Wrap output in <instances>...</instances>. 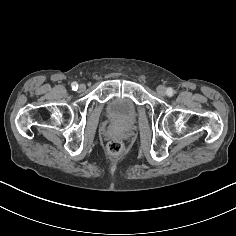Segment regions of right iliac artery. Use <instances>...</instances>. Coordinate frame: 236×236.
<instances>
[{
    "label": "right iliac artery",
    "mask_w": 236,
    "mask_h": 236,
    "mask_svg": "<svg viewBox=\"0 0 236 236\" xmlns=\"http://www.w3.org/2000/svg\"><path fill=\"white\" fill-rule=\"evenodd\" d=\"M71 87H72L73 90H77V89H78V84H77V82H73V83L71 84Z\"/></svg>",
    "instance_id": "82829eb1"
}]
</instances>
